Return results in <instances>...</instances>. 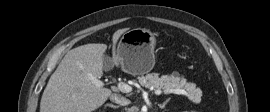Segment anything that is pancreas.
Instances as JSON below:
<instances>
[{"instance_id": "pancreas-1", "label": "pancreas", "mask_w": 270, "mask_h": 112, "mask_svg": "<svg viewBox=\"0 0 270 112\" xmlns=\"http://www.w3.org/2000/svg\"><path fill=\"white\" fill-rule=\"evenodd\" d=\"M139 83L146 88H153L155 90L166 91L168 89L184 88L187 92L188 98L198 104L201 101L202 91L197 88L194 83L187 82L185 78L180 77L177 72L171 75H162L159 77L158 73H150L146 76L138 77Z\"/></svg>"}]
</instances>
